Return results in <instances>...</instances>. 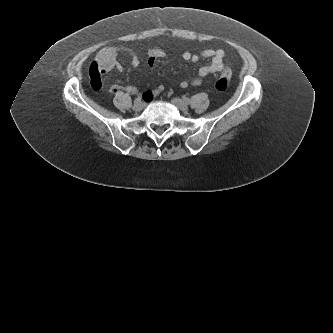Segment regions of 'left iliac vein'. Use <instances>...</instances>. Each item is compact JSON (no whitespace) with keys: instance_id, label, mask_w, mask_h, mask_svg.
Segmentation results:
<instances>
[{"instance_id":"4c4485c4","label":"left iliac vein","mask_w":333,"mask_h":333,"mask_svg":"<svg viewBox=\"0 0 333 333\" xmlns=\"http://www.w3.org/2000/svg\"><path fill=\"white\" fill-rule=\"evenodd\" d=\"M172 104L183 112L188 111V105L180 98H173L172 99Z\"/></svg>"}]
</instances>
